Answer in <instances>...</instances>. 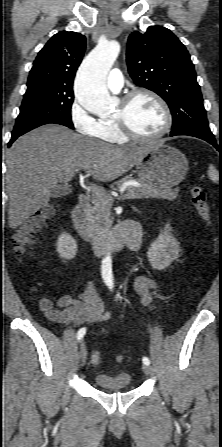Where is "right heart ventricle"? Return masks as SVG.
Wrapping results in <instances>:
<instances>
[{
	"instance_id": "e07e8e85",
	"label": "right heart ventricle",
	"mask_w": 222,
	"mask_h": 447,
	"mask_svg": "<svg viewBox=\"0 0 222 447\" xmlns=\"http://www.w3.org/2000/svg\"><path fill=\"white\" fill-rule=\"evenodd\" d=\"M94 135L111 143H124L127 140L112 118H100Z\"/></svg>"
}]
</instances>
